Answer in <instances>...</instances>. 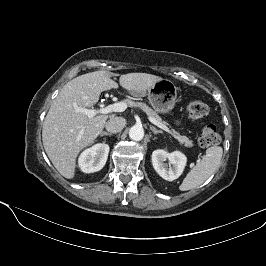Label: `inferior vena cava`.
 <instances>
[{
    "label": "inferior vena cava",
    "mask_w": 266,
    "mask_h": 266,
    "mask_svg": "<svg viewBox=\"0 0 266 266\" xmlns=\"http://www.w3.org/2000/svg\"><path fill=\"white\" fill-rule=\"evenodd\" d=\"M125 125H126V120L124 118L113 117L106 122L105 128L110 133H118L122 131Z\"/></svg>",
    "instance_id": "602c4592"
}]
</instances>
